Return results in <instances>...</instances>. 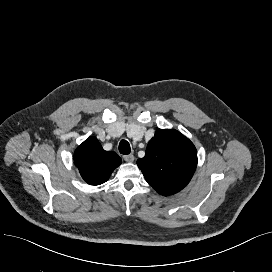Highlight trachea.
I'll return each mask as SVG.
<instances>
[{"mask_svg":"<svg viewBox=\"0 0 272 272\" xmlns=\"http://www.w3.org/2000/svg\"><path fill=\"white\" fill-rule=\"evenodd\" d=\"M119 152L123 155H128L131 152L130 144L126 140H121L119 143Z\"/></svg>","mask_w":272,"mask_h":272,"instance_id":"trachea-1","label":"trachea"}]
</instances>
